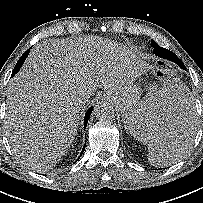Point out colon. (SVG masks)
I'll list each match as a JSON object with an SVG mask.
<instances>
[{"label": "colon", "instance_id": "1", "mask_svg": "<svg viewBox=\"0 0 203 203\" xmlns=\"http://www.w3.org/2000/svg\"><path fill=\"white\" fill-rule=\"evenodd\" d=\"M173 73V69L166 63L161 62L157 68V76L159 79L164 80L171 76Z\"/></svg>", "mask_w": 203, "mask_h": 203}]
</instances>
